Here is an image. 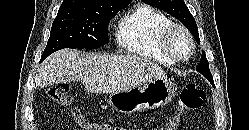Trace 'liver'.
<instances>
[{
    "instance_id": "6515ba94",
    "label": "liver",
    "mask_w": 249,
    "mask_h": 130,
    "mask_svg": "<svg viewBox=\"0 0 249 130\" xmlns=\"http://www.w3.org/2000/svg\"><path fill=\"white\" fill-rule=\"evenodd\" d=\"M166 77L159 65L138 56L63 49L41 63L35 88L80 81L87 92L112 94Z\"/></svg>"
}]
</instances>
